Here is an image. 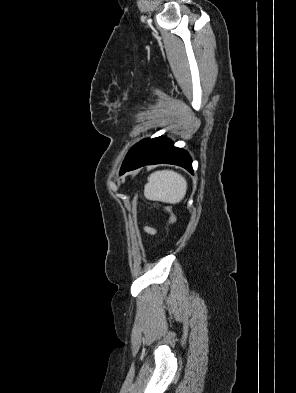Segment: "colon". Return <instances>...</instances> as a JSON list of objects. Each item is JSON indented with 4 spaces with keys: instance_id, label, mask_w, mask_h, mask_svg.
<instances>
[{
    "instance_id": "colon-1",
    "label": "colon",
    "mask_w": 296,
    "mask_h": 393,
    "mask_svg": "<svg viewBox=\"0 0 296 393\" xmlns=\"http://www.w3.org/2000/svg\"><path fill=\"white\" fill-rule=\"evenodd\" d=\"M163 211L168 215V218H169L168 222H169V224H173L175 222V215H174V212H173L172 208L170 206H165L163 208Z\"/></svg>"
}]
</instances>
